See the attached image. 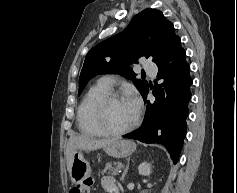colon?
Listing matches in <instances>:
<instances>
[{
    "mask_svg": "<svg viewBox=\"0 0 237 193\" xmlns=\"http://www.w3.org/2000/svg\"><path fill=\"white\" fill-rule=\"evenodd\" d=\"M92 185V180L88 179L73 185L69 193H90V187Z\"/></svg>",
    "mask_w": 237,
    "mask_h": 193,
    "instance_id": "colon-1",
    "label": "colon"
}]
</instances>
